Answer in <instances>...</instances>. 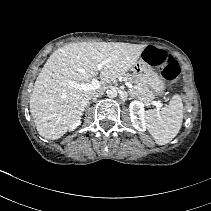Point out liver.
<instances>
[{"label": "liver", "instance_id": "1", "mask_svg": "<svg viewBox=\"0 0 211 211\" xmlns=\"http://www.w3.org/2000/svg\"><path fill=\"white\" fill-rule=\"evenodd\" d=\"M146 45L123 42H80L65 45L50 55L39 73L30 97V112L38 133L61 138L81 119L91 95L135 65ZM106 62V63H104ZM100 70L99 89L83 90ZM77 85L72 86L70 82Z\"/></svg>", "mask_w": 211, "mask_h": 211}]
</instances>
